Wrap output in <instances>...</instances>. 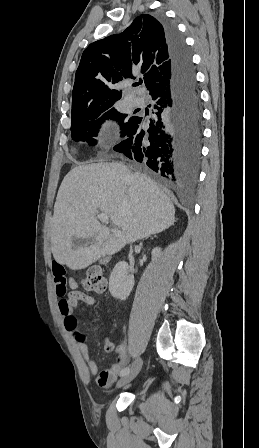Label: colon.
Instances as JSON below:
<instances>
[{
    "mask_svg": "<svg viewBox=\"0 0 259 448\" xmlns=\"http://www.w3.org/2000/svg\"><path fill=\"white\" fill-rule=\"evenodd\" d=\"M82 286L85 290L103 293L106 290L107 283L100 269L91 267L86 270L82 279Z\"/></svg>",
    "mask_w": 259,
    "mask_h": 448,
    "instance_id": "colon-1",
    "label": "colon"
}]
</instances>
